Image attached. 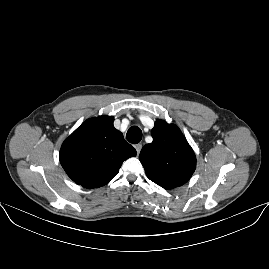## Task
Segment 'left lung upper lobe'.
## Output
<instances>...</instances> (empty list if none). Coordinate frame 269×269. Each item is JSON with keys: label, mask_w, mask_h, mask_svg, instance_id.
I'll return each mask as SVG.
<instances>
[{"label": "left lung upper lobe", "mask_w": 269, "mask_h": 269, "mask_svg": "<svg viewBox=\"0 0 269 269\" xmlns=\"http://www.w3.org/2000/svg\"><path fill=\"white\" fill-rule=\"evenodd\" d=\"M151 135L153 142L139 155L147 177L166 189L185 184L195 171L196 158L179 128L157 120Z\"/></svg>", "instance_id": "1"}]
</instances>
